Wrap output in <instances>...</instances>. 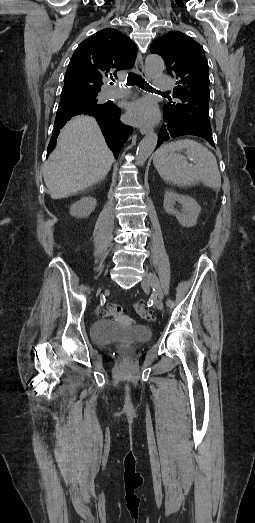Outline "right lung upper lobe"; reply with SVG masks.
<instances>
[{
    "instance_id": "obj_1",
    "label": "right lung upper lobe",
    "mask_w": 255,
    "mask_h": 523,
    "mask_svg": "<svg viewBox=\"0 0 255 523\" xmlns=\"http://www.w3.org/2000/svg\"><path fill=\"white\" fill-rule=\"evenodd\" d=\"M137 54L135 43L119 31L103 29L84 40L75 50L68 65L54 131L47 155L56 146L59 130L66 121L79 114L93 116L115 158L132 133L133 128L120 121V109L114 104L99 103L97 95L107 78L118 71L133 67ZM76 95L90 96L88 109L73 106Z\"/></svg>"
}]
</instances>
